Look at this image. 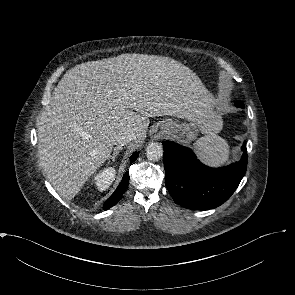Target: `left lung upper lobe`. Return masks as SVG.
I'll return each mask as SVG.
<instances>
[{
	"instance_id": "1",
	"label": "left lung upper lobe",
	"mask_w": 295,
	"mask_h": 295,
	"mask_svg": "<svg viewBox=\"0 0 295 295\" xmlns=\"http://www.w3.org/2000/svg\"><path fill=\"white\" fill-rule=\"evenodd\" d=\"M238 102H240V101H237L236 103H238ZM240 103H241V107H244L243 103L242 102H240Z\"/></svg>"
}]
</instances>
